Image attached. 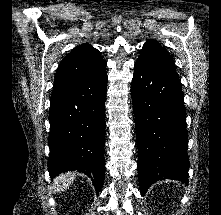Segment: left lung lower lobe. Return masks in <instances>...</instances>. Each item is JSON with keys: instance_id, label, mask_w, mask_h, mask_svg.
Masks as SVG:
<instances>
[{"instance_id": "0a47b994", "label": "left lung lower lobe", "mask_w": 221, "mask_h": 215, "mask_svg": "<svg viewBox=\"0 0 221 215\" xmlns=\"http://www.w3.org/2000/svg\"><path fill=\"white\" fill-rule=\"evenodd\" d=\"M141 194L156 181L188 183V134L176 71L137 60L132 79Z\"/></svg>"}]
</instances>
